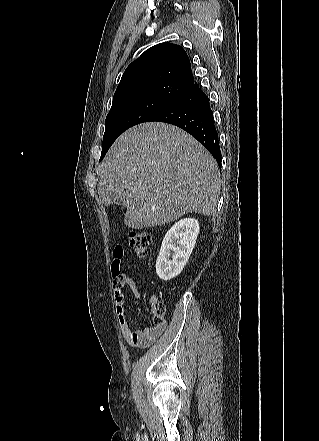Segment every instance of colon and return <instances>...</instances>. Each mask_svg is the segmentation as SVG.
I'll return each instance as SVG.
<instances>
[{"instance_id": "5ec220e1", "label": "colon", "mask_w": 319, "mask_h": 441, "mask_svg": "<svg viewBox=\"0 0 319 441\" xmlns=\"http://www.w3.org/2000/svg\"><path fill=\"white\" fill-rule=\"evenodd\" d=\"M151 241L150 234L144 230H135L129 235V244L140 257H146L149 254ZM113 274L117 279L119 276L118 265H115ZM151 312L154 317V326H160L164 322L165 305L161 302H154L151 305Z\"/></svg>"}]
</instances>
